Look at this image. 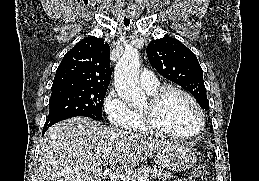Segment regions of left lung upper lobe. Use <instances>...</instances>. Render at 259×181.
I'll return each mask as SVG.
<instances>
[{"label":"left lung upper lobe","mask_w":259,"mask_h":181,"mask_svg":"<svg viewBox=\"0 0 259 181\" xmlns=\"http://www.w3.org/2000/svg\"><path fill=\"white\" fill-rule=\"evenodd\" d=\"M147 57L163 77L189 91L199 105L208 110L203 70L190 49L179 40L165 36L148 44Z\"/></svg>","instance_id":"5c2ea615"}]
</instances>
